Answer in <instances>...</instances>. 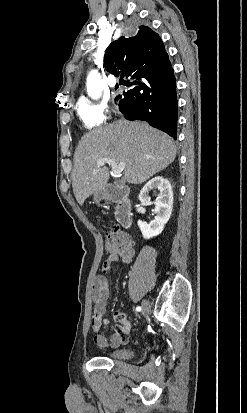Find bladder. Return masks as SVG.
Instances as JSON below:
<instances>
[{"label": "bladder", "mask_w": 247, "mask_h": 413, "mask_svg": "<svg viewBox=\"0 0 247 413\" xmlns=\"http://www.w3.org/2000/svg\"><path fill=\"white\" fill-rule=\"evenodd\" d=\"M132 354H133V351L131 348L122 349V350H112L110 352H107L108 357L118 358L122 360H129Z\"/></svg>", "instance_id": "obj_1"}]
</instances>
